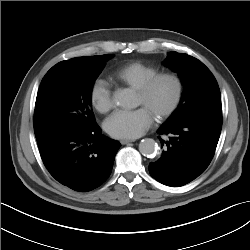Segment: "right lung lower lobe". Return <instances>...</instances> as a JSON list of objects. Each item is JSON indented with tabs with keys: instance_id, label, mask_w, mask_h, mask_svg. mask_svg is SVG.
Masks as SVG:
<instances>
[{
	"instance_id": "1",
	"label": "right lung lower lobe",
	"mask_w": 250,
	"mask_h": 250,
	"mask_svg": "<svg viewBox=\"0 0 250 250\" xmlns=\"http://www.w3.org/2000/svg\"><path fill=\"white\" fill-rule=\"evenodd\" d=\"M36 139L52 177L77 192L91 191L109 177L121 146L103 136L98 125L86 131L52 133Z\"/></svg>"
}]
</instances>
